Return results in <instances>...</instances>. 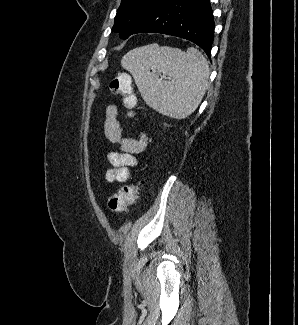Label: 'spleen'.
Instances as JSON below:
<instances>
[{
	"label": "spleen",
	"instance_id": "1",
	"mask_svg": "<svg viewBox=\"0 0 298 325\" xmlns=\"http://www.w3.org/2000/svg\"><path fill=\"white\" fill-rule=\"evenodd\" d=\"M121 66L132 74L146 104L171 118L192 114L206 92L209 64L194 46L186 52L157 42L137 46L122 56Z\"/></svg>",
	"mask_w": 298,
	"mask_h": 325
}]
</instances>
